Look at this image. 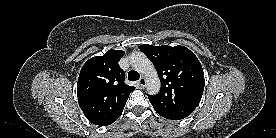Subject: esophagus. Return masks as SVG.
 <instances>
[{"instance_id": "obj_1", "label": "esophagus", "mask_w": 276, "mask_h": 138, "mask_svg": "<svg viewBox=\"0 0 276 138\" xmlns=\"http://www.w3.org/2000/svg\"><path fill=\"white\" fill-rule=\"evenodd\" d=\"M139 85L144 88L146 86V78L141 77L140 80L138 81Z\"/></svg>"}]
</instances>
